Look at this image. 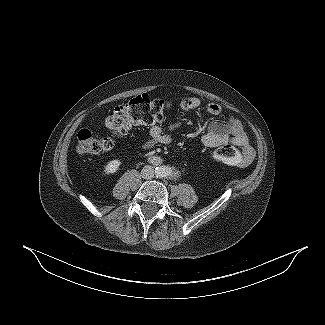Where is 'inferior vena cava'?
Here are the masks:
<instances>
[{
    "mask_svg": "<svg viewBox=\"0 0 325 325\" xmlns=\"http://www.w3.org/2000/svg\"><path fill=\"white\" fill-rule=\"evenodd\" d=\"M141 175L142 178L144 179H152L155 175V170L152 166H144L143 169L141 170Z\"/></svg>",
    "mask_w": 325,
    "mask_h": 325,
    "instance_id": "1",
    "label": "inferior vena cava"
}]
</instances>
